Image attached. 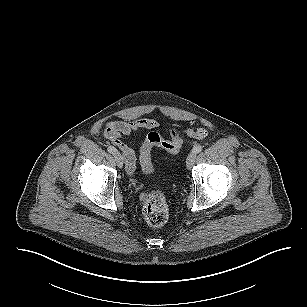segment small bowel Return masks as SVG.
<instances>
[{"label":"small bowel","instance_id":"c3829d8e","mask_svg":"<svg viewBox=\"0 0 307 307\" xmlns=\"http://www.w3.org/2000/svg\"><path fill=\"white\" fill-rule=\"evenodd\" d=\"M159 125L152 118H138L131 121H109L106 123L104 134L123 154L128 173H133L136 167L134 150L123 141V137L131 136L140 130H153Z\"/></svg>","mask_w":307,"mask_h":307}]
</instances>
